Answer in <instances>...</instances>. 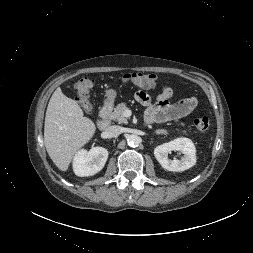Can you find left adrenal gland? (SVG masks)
<instances>
[{"label": "left adrenal gland", "mask_w": 253, "mask_h": 253, "mask_svg": "<svg viewBox=\"0 0 253 253\" xmlns=\"http://www.w3.org/2000/svg\"><path fill=\"white\" fill-rule=\"evenodd\" d=\"M155 134L160 135V134H165L164 130H156Z\"/></svg>", "instance_id": "obj_1"}]
</instances>
